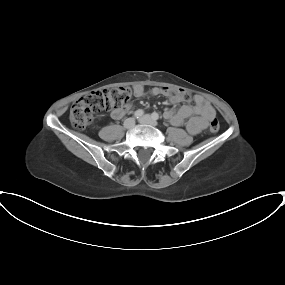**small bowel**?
<instances>
[{
	"label": "small bowel",
	"instance_id": "1",
	"mask_svg": "<svg viewBox=\"0 0 285 285\" xmlns=\"http://www.w3.org/2000/svg\"><path fill=\"white\" fill-rule=\"evenodd\" d=\"M132 91L135 97H144L147 94L151 96L165 95L172 104L184 101L180 94L166 91L163 87H154L147 93L144 86L136 84L133 86ZM129 108V104L114 108L111 110L110 116L113 119H120ZM164 117L175 126H180L187 120L186 128L188 132L198 134L216 117V112L208 100L201 95H196L194 105H182L177 109L167 110L164 113Z\"/></svg>",
	"mask_w": 285,
	"mask_h": 285
}]
</instances>
